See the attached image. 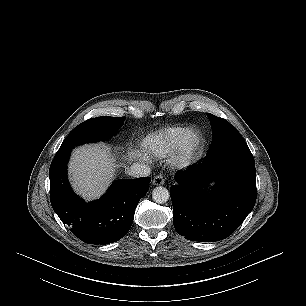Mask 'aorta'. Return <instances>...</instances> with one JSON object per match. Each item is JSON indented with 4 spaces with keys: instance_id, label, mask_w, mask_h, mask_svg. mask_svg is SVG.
Instances as JSON below:
<instances>
[{
    "instance_id": "obj_1",
    "label": "aorta",
    "mask_w": 306,
    "mask_h": 306,
    "mask_svg": "<svg viewBox=\"0 0 306 306\" xmlns=\"http://www.w3.org/2000/svg\"><path fill=\"white\" fill-rule=\"evenodd\" d=\"M170 193L167 188L158 186L152 191V198L156 203L163 204L169 200Z\"/></svg>"
}]
</instances>
